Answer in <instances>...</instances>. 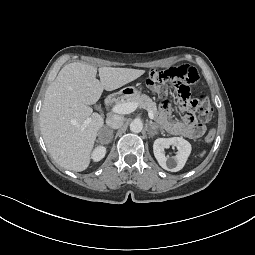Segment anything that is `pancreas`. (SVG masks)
Instances as JSON below:
<instances>
[{"mask_svg":"<svg viewBox=\"0 0 255 255\" xmlns=\"http://www.w3.org/2000/svg\"><path fill=\"white\" fill-rule=\"evenodd\" d=\"M124 102H136L138 103V105L142 108H145L147 110L152 111V113L158 117V111H157V106L156 103L152 101V99L145 95V94H136L132 97H128L125 100L122 99L120 101V103H124Z\"/></svg>","mask_w":255,"mask_h":255,"instance_id":"obj_1","label":"pancreas"}]
</instances>
